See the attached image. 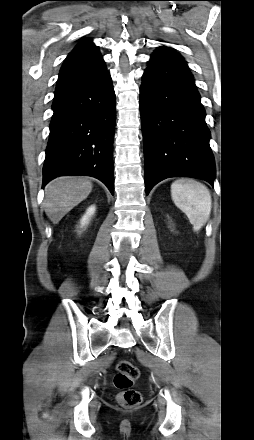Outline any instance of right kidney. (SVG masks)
Listing matches in <instances>:
<instances>
[{
    "label": "right kidney",
    "mask_w": 254,
    "mask_h": 440,
    "mask_svg": "<svg viewBox=\"0 0 254 440\" xmlns=\"http://www.w3.org/2000/svg\"><path fill=\"white\" fill-rule=\"evenodd\" d=\"M96 208L94 205L90 206L86 213L82 216L81 220H80V227L83 228L84 226H86L91 217L95 214Z\"/></svg>",
    "instance_id": "ca27d5eb"
}]
</instances>
